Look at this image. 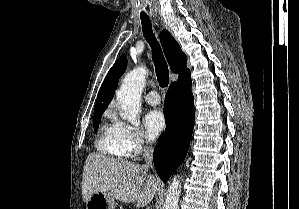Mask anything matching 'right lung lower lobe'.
<instances>
[{
    "label": "right lung lower lobe",
    "instance_id": "98d812e1",
    "mask_svg": "<svg viewBox=\"0 0 299 209\" xmlns=\"http://www.w3.org/2000/svg\"><path fill=\"white\" fill-rule=\"evenodd\" d=\"M193 101L191 78L171 84L166 93V131L161 134L154 151L155 169L164 182H167L188 152L195 122Z\"/></svg>",
    "mask_w": 299,
    "mask_h": 209
}]
</instances>
